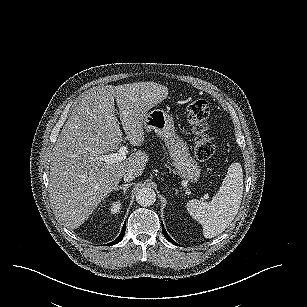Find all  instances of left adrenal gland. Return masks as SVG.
<instances>
[{"instance_id": "obj_1", "label": "left adrenal gland", "mask_w": 307, "mask_h": 307, "mask_svg": "<svg viewBox=\"0 0 307 307\" xmlns=\"http://www.w3.org/2000/svg\"><path fill=\"white\" fill-rule=\"evenodd\" d=\"M175 194L176 196H179V190L177 188H175Z\"/></svg>"}]
</instances>
